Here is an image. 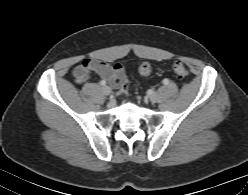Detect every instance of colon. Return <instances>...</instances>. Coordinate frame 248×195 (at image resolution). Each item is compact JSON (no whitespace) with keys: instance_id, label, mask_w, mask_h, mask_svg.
Segmentation results:
<instances>
[{"instance_id":"obj_1","label":"colon","mask_w":248,"mask_h":195,"mask_svg":"<svg viewBox=\"0 0 248 195\" xmlns=\"http://www.w3.org/2000/svg\"><path fill=\"white\" fill-rule=\"evenodd\" d=\"M173 73L175 77L179 80H183L188 75V71L185 65L181 61H175L172 66ZM138 72L143 77H148L152 72V67L148 62H142L138 67ZM78 74H83V72H78ZM129 92V84L126 80H123L119 87L118 93L120 95H127Z\"/></svg>"}]
</instances>
